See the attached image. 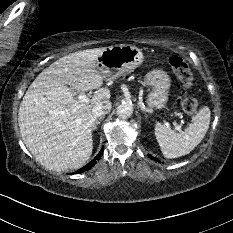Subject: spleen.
I'll list each match as a JSON object with an SVG mask.
<instances>
[{
  "label": "spleen",
  "mask_w": 233,
  "mask_h": 233,
  "mask_svg": "<svg viewBox=\"0 0 233 233\" xmlns=\"http://www.w3.org/2000/svg\"><path fill=\"white\" fill-rule=\"evenodd\" d=\"M210 118V109L204 106L183 131L175 132L166 125L156 123L155 136L164 157L172 159L189 154L205 137Z\"/></svg>",
  "instance_id": "3e777b00"
}]
</instances>
